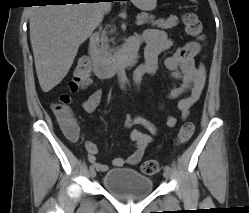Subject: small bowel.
Wrapping results in <instances>:
<instances>
[{
    "label": "small bowel",
    "mask_w": 249,
    "mask_h": 213,
    "mask_svg": "<svg viewBox=\"0 0 249 213\" xmlns=\"http://www.w3.org/2000/svg\"><path fill=\"white\" fill-rule=\"evenodd\" d=\"M139 42L146 43L145 62L139 66L135 72L143 75L153 76L160 68L159 55L169 49L172 41L166 33L158 29H146L143 34L138 37ZM200 52V44L196 41H190L177 51L168 56L164 61L165 68L171 73L174 80H182L183 84L180 87L170 89L168 97L176 99L184 94L178 101V109L182 120H185L190 114L192 106L199 100L206 80V68L200 63L196 65L195 57ZM103 96V91L97 89L93 91L86 100L82 103L85 112L93 113L99 105ZM68 138L76 141L80 131L79 124L72 118V124L66 125L60 123ZM177 124V118L174 115L168 116L166 125L173 128ZM134 125L141 126L149 131L146 134L138 129L131 130L129 137L134 144V151L127 158L116 157L113 159V165L117 168L124 165H136L142 159L147 146L153 141V136L158 133V128L149 120L141 116H127L123 121L125 128H131ZM88 153V160L96 167L98 171L105 172L108 170L107 165L97 161L98 147L92 141H87L85 144Z\"/></svg>",
    "instance_id": "1"
}]
</instances>
